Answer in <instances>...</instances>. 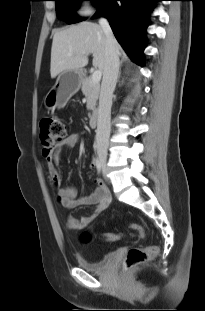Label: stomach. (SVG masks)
Here are the masks:
<instances>
[{
    "instance_id": "obj_1",
    "label": "stomach",
    "mask_w": 205,
    "mask_h": 311,
    "mask_svg": "<svg viewBox=\"0 0 205 311\" xmlns=\"http://www.w3.org/2000/svg\"><path fill=\"white\" fill-rule=\"evenodd\" d=\"M81 70H66L58 75L55 85L47 93L44 104L48 109L62 108L81 86Z\"/></svg>"
}]
</instances>
